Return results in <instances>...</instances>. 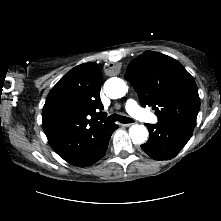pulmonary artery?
<instances>
[{
    "instance_id": "pulmonary-artery-1",
    "label": "pulmonary artery",
    "mask_w": 221,
    "mask_h": 221,
    "mask_svg": "<svg viewBox=\"0 0 221 221\" xmlns=\"http://www.w3.org/2000/svg\"><path fill=\"white\" fill-rule=\"evenodd\" d=\"M125 108L127 110V112L135 117L136 119L140 120V121H143V122H146V123H155L157 122V117L142 109L137 103L135 100L133 99H128L125 103Z\"/></svg>"
}]
</instances>
